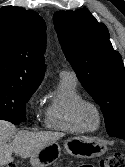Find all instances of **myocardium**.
<instances>
[{"label": "myocardium", "instance_id": "obj_1", "mask_svg": "<svg viewBox=\"0 0 125 167\" xmlns=\"http://www.w3.org/2000/svg\"><path fill=\"white\" fill-rule=\"evenodd\" d=\"M86 108H91L95 111L96 116H97V125L94 128H90L88 126H86V124L84 123L83 120V113L85 111ZM74 117L75 120L77 121V123L80 125V127L87 132H94L96 130H98L101 126L102 123V115H101V111L98 107L97 104H95L94 102L90 101V100H86L83 99L81 100L74 108Z\"/></svg>", "mask_w": 125, "mask_h": 167}]
</instances>
